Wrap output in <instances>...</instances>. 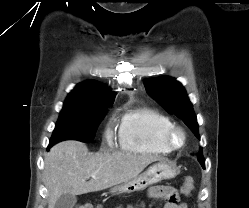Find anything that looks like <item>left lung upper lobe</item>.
<instances>
[{"mask_svg": "<svg viewBox=\"0 0 249 208\" xmlns=\"http://www.w3.org/2000/svg\"><path fill=\"white\" fill-rule=\"evenodd\" d=\"M147 92L167 111L181 118L199 138L198 123L193 107L181 83L174 78L163 76L146 81ZM198 161L205 167L202 152L198 153Z\"/></svg>", "mask_w": 249, "mask_h": 208, "instance_id": "left-lung-upper-lobe-1", "label": "left lung upper lobe"}]
</instances>
